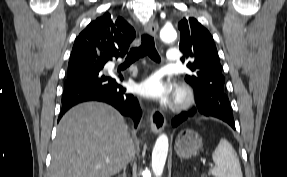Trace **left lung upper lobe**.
Masks as SVG:
<instances>
[{"label":"left lung upper lobe","instance_id":"5c2ea615","mask_svg":"<svg viewBox=\"0 0 287 177\" xmlns=\"http://www.w3.org/2000/svg\"><path fill=\"white\" fill-rule=\"evenodd\" d=\"M178 28L179 49L193 59L187 64L192 74L186 75L185 81L194 88L196 102L209 104L214 93L225 94V78L213 37L195 18H182ZM181 60L184 62V57ZM228 108L230 110V104Z\"/></svg>","mask_w":287,"mask_h":177}]
</instances>
